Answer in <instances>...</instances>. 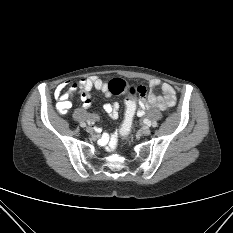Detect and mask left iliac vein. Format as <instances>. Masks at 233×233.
I'll list each match as a JSON object with an SVG mask.
<instances>
[{"label":"left iliac vein","mask_w":233,"mask_h":233,"mask_svg":"<svg viewBox=\"0 0 233 233\" xmlns=\"http://www.w3.org/2000/svg\"><path fill=\"white\" fill-rule=\"evenodd\" d=\"M150 133H151V130H150L149 127H145V128L142 130V134H143L144 136H147V135H149Z\"/></svg>","instance_id":"1"}]
</instances>
